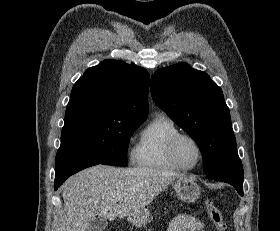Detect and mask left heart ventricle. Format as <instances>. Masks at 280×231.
<instances>
[{
	"label": "left heart ventricle",
	"mask_w": 280,
	"mask_h": 231,
	"mask_svg": "<svg viewBox=\"0 0 280 231\" xmlns=\"http://www.w3.org/2000/svg\"><path fill=\"white\" fill-rule=\"evenodd\" d=\"M176 158L186 168H194L200 158L197 144L188 137L181 138L175 149Z\"/></svg>",
	"instance_id": "b2bd125f"
}]
</instances>
